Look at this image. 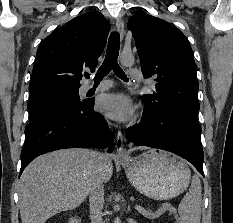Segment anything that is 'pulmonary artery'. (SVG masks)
<instances>
[{
  "instance_id": "e3ab8cb5",
  "label": "pulmonary artery",
  "mask_w": 233,
  "mask_h": 223,
  "mask_svg": "<svg viewBox=\"0 0 233 223\" xmlns=\"http://www.w3.org/2000/svg\"><path fill=\"white\" fill-rule=\"evenodd\" d=\"M129 75H130V79H141V75H142V70H129ZM110 87V84H109V81H107L106 83H103V84H100L99 86H97L95 88V90L97 92H100V91H105L107 89H109ZM92 86H88L87 89H91Z\"/></svg>"
}]
</instances>
